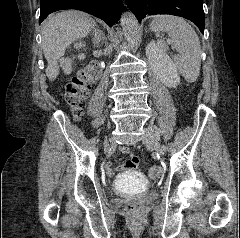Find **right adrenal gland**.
Instances as JSON below:
<instances>
[{"instance_id":"1","label":"right adrenal gland","mask_w":240,"mask_h":238,"mask_svg":"<svg viewBox=\"0 0 240 238\" xmlns=\"http://www.w3.org/2000/svg\"><path fill=\"white\" fill-rule=\"evenodd\" d=\"M100 33H101V35H102V39H104V35H103V33H102V32H100ZM92 41H93V44H94V45H97L98 42L96 41L95 38H94Z\"/></svg>"}]
</instances>
